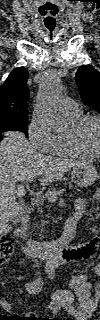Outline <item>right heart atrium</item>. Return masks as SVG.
Segmentation results:
<instances>
[{"mask_svg": "<svg viewBox=\"0 0 100 320\" xmlns=\"http://www.w3.org/2000/svg\"><path fill=\"white\" fill-rule=\"evenodd\" d=\"M28 137L34 148L41 152H50L55 135L38 119L33 118L28 125Z\"/></svg>", "mask_w": 100, "mask_h": 320, "instance_id": "right-heart-atrium-1", "label": "right heart atrium"}]
</instances>
